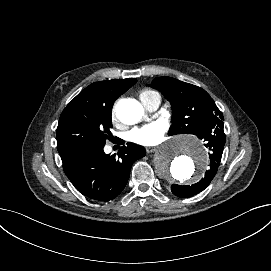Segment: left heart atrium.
<instances>
[{
	"label": "left heart atrium",
	"instance_id": "left-heart-atrium-1",
	"mask_svg": "<svg viewBox=\"0 0 271 271\" xmlns=\"http://www.w3.org/2000/svg\"><path fill=\"white\" fill-rule=\"evenodd\" d=\"M167 125L163 121L151 122L130 133V140L145 146L158 144L162 141Z\"/></svg>",
	"mask_w": 271,
	"mask_h": 271
}]
</instances>
